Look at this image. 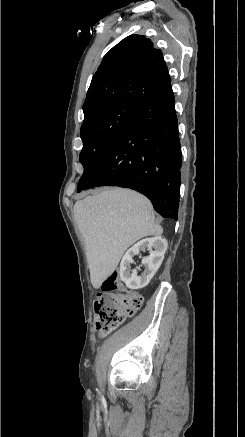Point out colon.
Segmentation results:
<instances>
[{
  "label": "colon",
  "instance_id": "colon-1",
  "mask_svg": "<svg viewBox=\"0 0 245 437\" xmlns=\"http://www.w3.org/2000/svg\"><path fill=\"white\" fill-rule=\"evenodd\" d=\"M143 297L122 287L119 273L107 277L94 302L95 325L100 334H106L121 325L126 317L133 316L142 307Z\"/></svg>",
  "mask_w": 245,
  "mask_h": 437
}]
</instances>
